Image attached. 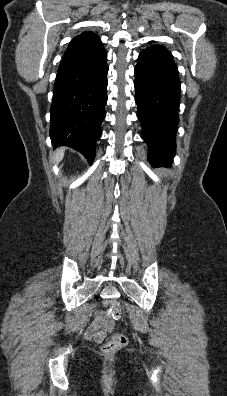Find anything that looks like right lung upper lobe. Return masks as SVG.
<instances>
[{"label":"right lung upper lobe","mask_w":227,"mask_h":396,"mask_svg":"<svg viewBox=\"0 0 227 396\" xmlns=\"http://www.w3.org/2000/svg\"><path fill=\"white\" fill-rule=\"evenodd\" d=\"M100 38L94 34L93 32H84L75 38H73L69 44V46L72 45H82V44H87V43H93V42H99Z\"/></svg>","instance_id":"right-lung-upper-lobe-1"}]
</instances>
